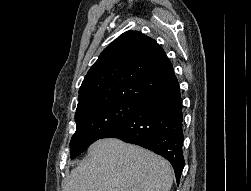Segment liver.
<instances>
[{
	"instance_id": "6515ba94",
	"label": "liver",
	"mask_w": 251,
	"mask_h": 191,
	"mask_svg": "<svg viewBox=\"0 0 251 191\" xmlns=\"http://www.w3.org/2000/svg\"><path fill=\"white\" fill-rule=\"evenodd\" d=\"M172 183L167 159L140 145L106 137L88 147L63 191H169Z\"/></svg>"
}]
</instances>
